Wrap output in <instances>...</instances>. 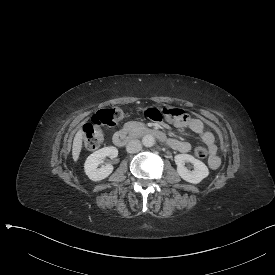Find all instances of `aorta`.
<instances>
[{
	"mask_svg": "<svg viewBox=\"0 0 275 275\" xmlns=\"http://www.w3.org/2000/svg\"><path fill=\"white\" fill-rule=\"evenodd\" d=\"M142 143L145 147H152L155 143V139L152 135H145L142 139Z\"/></svg>",
	"mask_w": 275,
	"mask_h": 275,
	"instance_id": "aorta-1",
	"label": "aorta"
}]
</instances>
